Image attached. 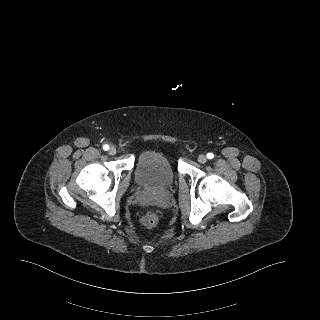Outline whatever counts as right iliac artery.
<instances>
[{
	"mask_svg": "<svg viewBox=\"0 0 320 320\" xmlns=\"http://www.w3.org/2000/svg\"><path fill=\"white\" fill-rule=\"evenodd\" d=\"M103 149H104L105 151H107V150H109V146H108L107 144H105V145L103 146Z\"/></svg>",
	"mask_w": 320,
	"mask_h": 320,
	"instance_id": "right-iliac-artery-1",
	"label": "right iliac artery"
}]
</instances>
